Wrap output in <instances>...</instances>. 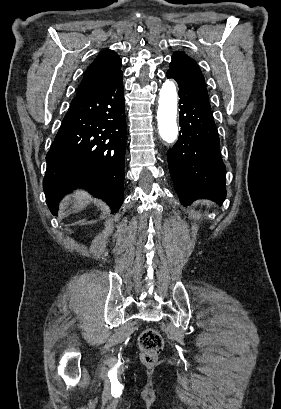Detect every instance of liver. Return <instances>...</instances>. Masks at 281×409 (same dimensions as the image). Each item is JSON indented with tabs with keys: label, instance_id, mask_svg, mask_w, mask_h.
I'll use <instances>...</instances> for the list:
<instances>
[{
	"label": "liver",
	"instance_id": "liver-1",
	"mask_svg": "<svg viewBox=\"0 0 281 409\" xmlns=\"http://www.w3.org/2000/svg\"><path fill=\"white\" fill-rule=\"evenodd\" d=\"M73 202H75L74 209H76L75 213H79L82 209H85L87 205H90V196L85 194V190H81V188H77L74 190L73 194Z\"/></svg>",
	"mask_w": 281,
	"mask_h": 409
}]
</instances>
